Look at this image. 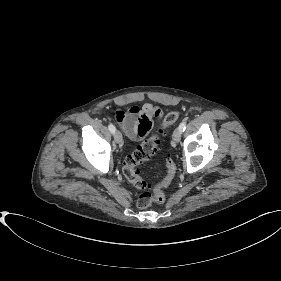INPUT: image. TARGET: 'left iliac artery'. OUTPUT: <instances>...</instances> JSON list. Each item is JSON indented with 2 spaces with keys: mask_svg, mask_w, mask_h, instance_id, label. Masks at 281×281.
I'll list each match as a JSON object with an SVG mask.
<instances>
[{
  "mask_svg": "<svg viewBox=\"0 0 281 281\" xmlns=\"http://www.w3.org/2000/svg\"><path fill=\"white\" fill-rule=\"evenodd\" d=\"M179 129L181 130V132H183V131L186 129V122H185V121H183L182 123H180Z\"/></svg>",
  "mask_w": 281,
  "mask_h": 281,
  "instance_id": "obj_1",
  "label": "left iliac artery"
}]
</instances>
